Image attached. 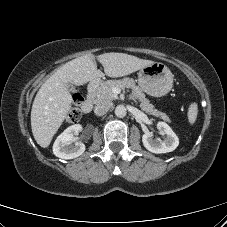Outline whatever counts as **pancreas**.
I'll return each mask as SVG.
<instances>
[{
	"mask_svg": "<svg viewBox=\"0 0 227 227\" xmlns=\"http://www.w3.org/2000/svg\"><path fill=\"white\" fill-rule=\"evenodd\" d=\"M114 88H132L139 94L140 100V108L145 111L149 115H153L156 117H160L164 121L170 122L169 117L163 113L158 111L154 108V106L150 103V101L145 98V95L141 92L138 86H136L133 79L124 78L122 80H107L103 82L100 87L96 89L94 92L96 101H103V100H114L117 98V95L113 93Z\"/></svg>",
	"mask_w": 227,
	"mask_h": 227,
	"instance_id": "pancreas-1",
	"label": "pancreas"
}]
</instances>
